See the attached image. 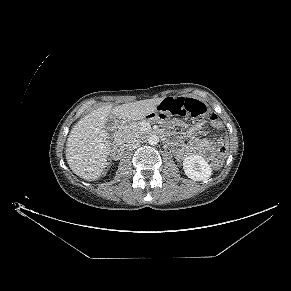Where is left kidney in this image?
<instances>
[{"label":"left kidney","instance_id":"1","mask_svg":"<svg viewBox=\"0 0 291 291\" xmlns=\"http://www.w3.org/2000/svg\"><path fill=\"white\" fill-rule=\"evenodd\" d=\"M185 174L194 181H205L210 178L212 168L201 156L190 155L183 160Z\"/></svg>","mask_w":291,"mask_h":291}]
</instances>
